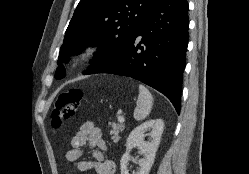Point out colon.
Returning <instances> with one entry per match:
<instances>
[{
	"instance_id": "1",
	"label": "colon",
	"mask_w": 249,
	"mask_h": 174,
	"mask_svg": "<svg viewBox=\"0 0 249 174\" xmlns=\"http://www.w3.org/2000/svg\"><path fill=\"white\" fill-rule=\"evenodd\" d=\"M82 99L83 92L79 88H69L62 91L52 112V125L61 127L68 122L76 113Z\"/></svg>"
}]
</instances>
